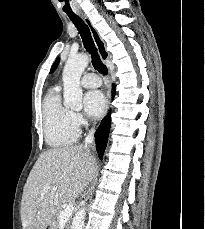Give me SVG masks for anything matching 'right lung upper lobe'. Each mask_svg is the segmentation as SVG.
I'll return each instance as SVG.
<instances>
[{
	"label": "right lung upper lobe",
	"instance_id": "cb5924a9",
	"mask_svg": "<svg viewBox=\"0 0 205 229\" xmlns=\"http://www.w3.org/2000/svg\"><path fill=\"white\" fill-rule=\"evenodd\" d=\"M58 63H59V58L53 64L52 69H51V72H53L55 70V68L57 67Z\"/></svg>",
	"mask_w": 205,
	"mask_h": 229
}]
</instances>
